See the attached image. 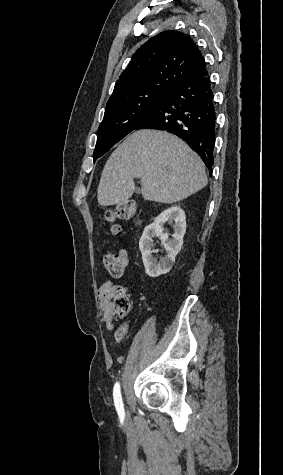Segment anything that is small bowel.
<instances>
[{
	"mask_svg": "<svg viewBox=\"0 0 283 475\" xmlns=\"http://www.w3.org/2000/svg\"><path fill=\"white\" fill-rule=\"evenodd\" d=\"M115 291V287L108 283L99 289V299L101 303V307L103 309V322L106 325L108 330H114L113 337L117 343H120L123 340L125 331H126V323H123L117 327L110 320V309H111V300L113 298Z\"/></svg>",
	"mask_w": 283,
	"mask_h": 475,
	"instance_id": "obj_1",
	"label": "small bowel"
}]
</instances>
